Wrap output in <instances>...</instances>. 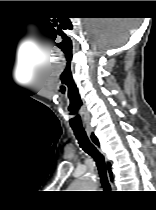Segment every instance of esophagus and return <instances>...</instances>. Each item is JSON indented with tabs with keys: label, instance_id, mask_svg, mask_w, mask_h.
<instances>
[{
	"label": "esophagus",
	"instance_id": "1",
	"mask_svg": "<svg viewBox=\"0 0 156 210\" xmlns=\"http://www.w3.org/2000/svg\"><path fill=\"white\" fill-rule=\"evenodd\" d=\"M88 136H89L91 142L93 143V145H94V146L101 152V154L104 156L106 166H107L108 168H110V167H111V163H110V161L108 160L106 153L101 149L100 141H99L98 137L96 136L95 132H88ZM108 179H109V183H110V185H111V187H112V186H113V183H112V179H110V176L108 177Z\"/></svg>",
	"mask_w": 156,
	"mask_h": 210
}]
</instances>
